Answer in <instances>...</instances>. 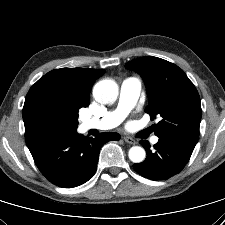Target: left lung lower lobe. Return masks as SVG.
<instances>
[{"instance_id": "obj_1", "label": "left lung lower lobe", "mask_w": 225, "mask_h": 225, "mask_svg": "<svg viewBox=\"0 0 225 225\" xmlns=\"http://www.w3.org/2000/svg\"><path fill=\"white\" fill-rule=\"evenodd\" d=\"M140 143L146 149L147 157L142 163L134 164L133 168L143 177L154 181L166 180L179 173L188 163L195 148L169 137H159L153 152L147 141L141 140Z\"/></svg>"}]
</instances>
